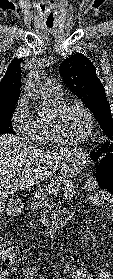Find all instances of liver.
I'll list each match as a JSON object with an SVG mask.
<instances>
[{
  "mask_svg": "<svg viewBox=\"0 0 113 279\" xmlns=\"http://www.w3.org/2000/svg\"><path fill=\"white\" fill-rule=\"evenodd\" d=\"M71 152L69 149L44 152L23 145L16 136L0 135V203L18 189L31 188L44 181L69 158Z\"/></svg>",
  "mask_w": 113,
  "mask_h": 279,
  "instance_id": "1",
  "label": "liver"
}]
</instances>
